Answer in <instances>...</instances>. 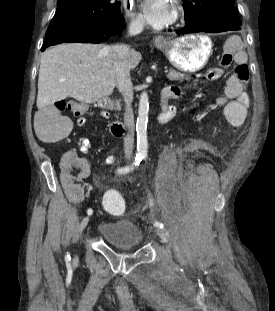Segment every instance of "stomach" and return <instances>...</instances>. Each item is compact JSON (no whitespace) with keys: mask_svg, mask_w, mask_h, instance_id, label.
<instances>
[{"mask_svg":"<svg viewBox=\"0 0 275 311\" xmlns=\"http://www.w3.org/2000/svg\"><path fill=\"white\" fill-rule=\"evenodd\" d=\"M157 47L175 68L184 72H196L207 64L213 45L209 37L191 34L169 40Z\"/></svg>","mask_w":275,"mask_h":311,"instance_id":"0dacf381","label":"stomach"}]
</instances>
